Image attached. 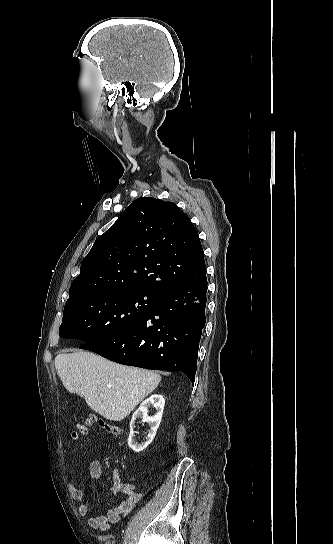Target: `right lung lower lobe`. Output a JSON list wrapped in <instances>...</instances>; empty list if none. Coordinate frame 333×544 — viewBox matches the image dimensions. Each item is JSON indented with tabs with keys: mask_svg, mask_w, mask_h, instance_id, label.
Segmentation results:
<instances>
[{
	"mask_svg": "<svg viewBox=\"0 0 333 544\" xmlns=\"http://www.w3.org/2000/svg\"><path fill=\"white\" fill-rule=\"evenodd\" d=\"M207 278L167 291L137 323L83 349L124 365L181 371L194 383L205 325Z\"/></svg>",
	"mask_w": 333,
	"mask_h": 544,
	"instance_id": "98d812e1",
	"label": "right lung lower lobe"
}]
</instances>
